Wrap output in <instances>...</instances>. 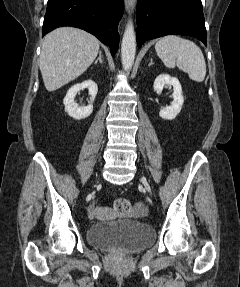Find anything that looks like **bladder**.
<instances>
[{
    "mask_svg": "<svg viewBox=\"0 0 240 287\" xmlns=\"http://www.w3.org/2000/svg\"><path fill=\"white\" fill-rule=\"evenodd\" d=\"M154 239L153 228L130 219L98 223L87 232L89 244L104 249L120 248L130 253L152 244Z\"/></svg>",
    "mask_w": 240,
    "mask_h": 287,
    "instance_id": "1",
    "label": "bladder"
}]
</instances>
